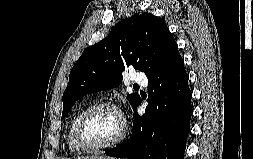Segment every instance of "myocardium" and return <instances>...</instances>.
Here are the masks:
<instances>
[{"label": "myocardium", "instance_id": "f54148a6", "mask_svg": "<svg viewBox=\"0 0 253 159\" xmlns=\"http://www.w3.org/2000/svg\"><path fill=\"white\" fill-rule=\"evenodd\" d=\"M101 109H111L119 115L120 120H121L120 132L118 133V135L114 139H112L106 143H103L100 145H94V146L88 145L83 141V137H82L84 123L91 114H93L94 112L101 110ZM126 134H127V122H126V119H125L121 109L113 102L104 101V102H99V103L93 104V105L87 107L82 112V114L80 115V117L78 118V120L74 126L73 143L78 150H81L84 152L101 151V150H105V149L114 147V146L118 145L119 143H121L124 140V138L126 137Z\"/></svg>", "mask_w": 253, "mask_h": 159}]
</instances>
